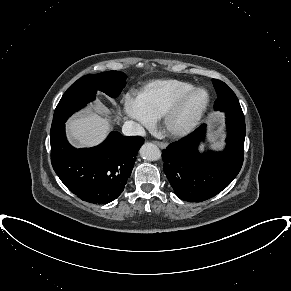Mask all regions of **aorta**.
Listing matches in <instances>:
<instances>
[{"label": "aorta", "instance_id": "762f6f07", "mask_svg": "<svg viewBox=\"0 0 291 291\" xmlns=\"http://www.w3.org/2000/svg\"><path fill=\"white\" fill-rule=\"evenodd\" d=\"M140 155L148 161H156L161 159L160 149L153 143H145L140 148Z\"/></svg>", "mask_w": 291, "mask_h": 291}]
</instances>
